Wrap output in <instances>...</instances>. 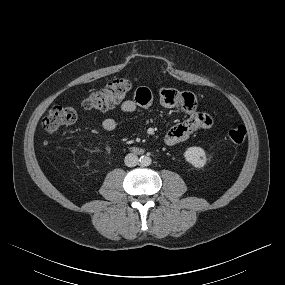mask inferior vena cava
<instances>
[{
  "instance_id": "obj_1",
  "label": "inferior vena cava",
  "mask_w": 285,
  "mask_h": 285,
  "mask_svg": "<svg viewBox=\"0 0 285 285\" xmlns=\"http://www.w3.org/2000/svg\"><path fill=\"white\" fill-rule=\"evenodd\" d=\"M124 162L128 167H134L138 164V157L133 153H129L125 156Z\"/></svg>"
}]
</instances>
